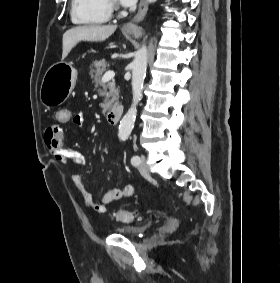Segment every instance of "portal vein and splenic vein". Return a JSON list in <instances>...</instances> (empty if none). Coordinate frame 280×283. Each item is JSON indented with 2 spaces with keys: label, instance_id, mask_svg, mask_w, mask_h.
Instances as JSON below:
<instances>
[{
  "label": "portal vein and splenic vein",
  "instance_id": "obj_1",
  "mask_svg": "<svg viewBox=\"0 0 280 283\" xmlns=\"http://www.w3.org/2000/svg\"><path fill=\"white\" fill-rule=\"evenodd\" d=\"M115 77V72L112 70L106 71V73L102 77V82L105 83Z\"/></svg>",
  "mask_w": 280,
  "mask_h": 283
}]
</instances>
